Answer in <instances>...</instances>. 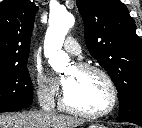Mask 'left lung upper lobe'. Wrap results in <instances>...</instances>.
Here are the masks:
<instances>
[{
  "label": "left lung upper lobe",
  "instance_id": "obj_1",
  "mask_svg": "<svg viewBox=\"0 0 142 128\" xmlns=\"http://www.w3.org/2000/svg\"><path fill=\"white\" fill-rule=\"evenodd\" d=\"M86 45L114 81L118 120H142V46L135 23L119 0H77Z\"/></svg>",
  "mask_w": 142,
  "mask_h": 128
}]
</instances>
